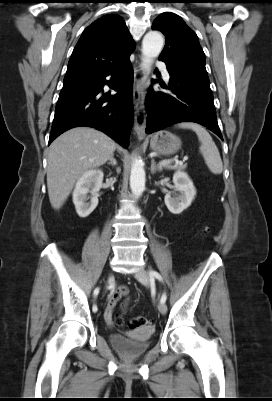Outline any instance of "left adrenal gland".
Instances as JSON below:
<instances>
[{"mask_svg": "<svg viewBox=\"0 0 272 401\" xmlns=\"http://www.w3.org/2000/svg\"><path fill=\"white\" fill-rule=\"evenodd\" d=\"M162 171V167L156 165V162L154 159L151 160V174H154L156 172H161Z\"/></svg>", "mask_w": 272, "mask_h": 401, "instance_id": "a2214340", "label": "left adrenal gland"}]
</instances>
